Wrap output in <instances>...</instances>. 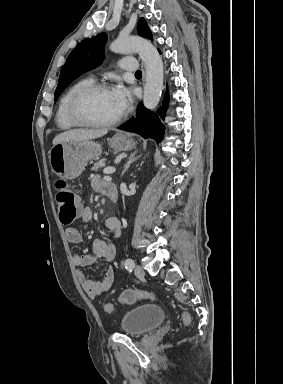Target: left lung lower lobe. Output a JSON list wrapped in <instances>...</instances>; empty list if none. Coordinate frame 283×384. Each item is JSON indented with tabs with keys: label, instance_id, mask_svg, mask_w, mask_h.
Returning a JSON list of instances; mask_svg holds the SVG:
<instances>
[{
	"label": "left lung lower lobe",
	"instance_id": "0a47b994",
	"mask_svg": "<svg viewBox=\"0 0 283 384\" xmlns=\"http://www.w3.org/2000/svg\"><path fill=\"white\" fill-rule=\"evenodd\" d=\"M168 100L169 95L168 92H166L163 106L157 111L158 114L146 109L142 102L139 103L136 117H132L130 120L119 126V129L137 133L144 138H153L157 143L161 142L165 133V126L161 119H164Z\"/></svg>",
	"mask_w": 283,
	"mask_h": 384
}]
</instances>
